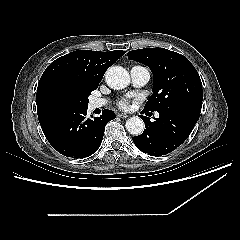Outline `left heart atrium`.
Here are the masks:
<instances>
[{
	"mask_svg": "<svg viewBox=\"0 0 240 240\" xmlns=\"http://www.w3.org/2000/svg\"><path fill=\"white\" fill-rule=\"evenodd\" d=\"M118 106L122 109L127 108L128 106V100L127 99H121L118 101Z\"/></svg>",
	"mask_w": 240,
	"mask_h": 240,
	"instance_id": "39dd6f15",
	"label": "left heart atrium"
}]
</instances>
